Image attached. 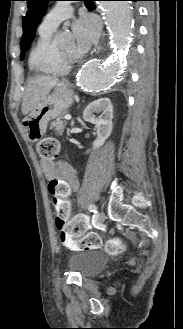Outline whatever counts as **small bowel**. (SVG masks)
<instances>
[{"label": "small bowel", "instance_id": "c3829d8e", "mask_svg": "<svg viewBox=\"0 0 183 329\" xmlns=\"http://www.w3.org/2000/svg\"><path fill=\"white\" fill-rule=\"evenodd\" d=\"M41 168L47 178L45 189L52 208H55L54 218H75L74 208L78 206L75 192L79 189V183L74 171L50 161H42ZM87 224L90 222L87 221ZM62 244L71 250L77 248L74 239L62 240Z\"/></svg>", "mask_w": 183, "mask_h": 329}]
</instances>
